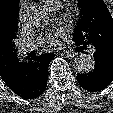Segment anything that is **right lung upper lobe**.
Returning a JSON list of instances; mask_svg holds the SVG:
<instances>
[{"label":"right lung upper lobe","mask_w":113,"mask_h":113,"mask_svg":"<svg viewBox=\"0 0 113 113\" xmlns=\"http://www.w3.org/2000/svg\"><path fill=\"white\" fill-rule=\"evenodd\" d=\"M19 0H0V76L6 81L16 71L15 48Z\"/></svg>","instance_id":"obj_1"}]
</instances>
